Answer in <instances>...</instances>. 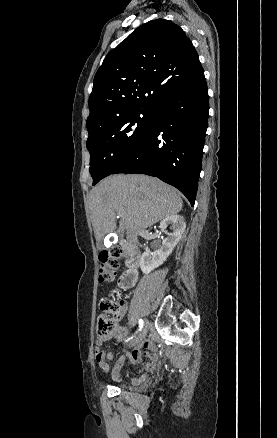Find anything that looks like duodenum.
I'll return each instance as SVG.
<instances>
[{
	"mask_svg": "<svg viewBox=\"0 0 277 438\" xmlns=\"http://www.w3.org/2000/svg\"><path fill=\"white\" fill-rule=\"evenodd\" d=\"M121 246L130 256L127 260V269L119 282L120 287L123 290H127L134 286L138 278L139 253L137 247L132 242H122Z\"/></svg>",
	"mask_w": 277,
	"mask_h": 438,
	"instance_id": "duodenum-1",
	"label": "duodenum"
}]
</instances>
